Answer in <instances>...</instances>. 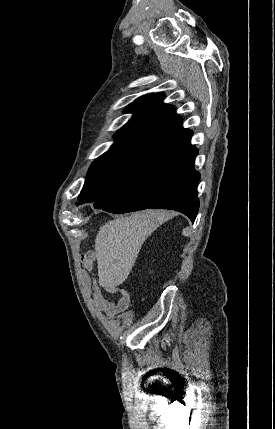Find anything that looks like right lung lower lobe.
<instances>
[{
  "label": "right lung lower lobe",
  "instance_id": "obj_1",
  "mask_svg": "<svg viewBox=\"0 0 275 429\" xmlns=\"http://www.w3.org/2000/svg\"><path fill=\"white\" fill-rule=\"evenodd\" d=\"M198 150L187 138L147 160L117 189L95 200L94 207L111 213L146 208L174 209L194 222L199 209L194 169Z\"/></svg>",
  "mask_w": 275,
  "mask_h": 429
}]
</instances>
